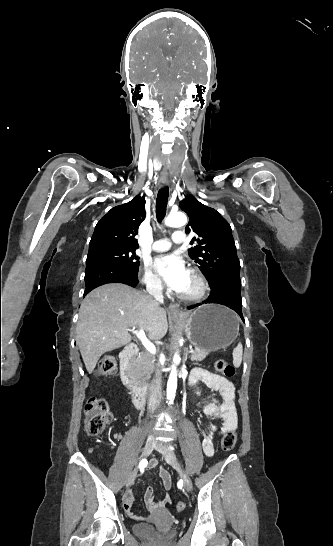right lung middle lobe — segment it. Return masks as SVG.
Listing matches in <instances>:
<instances>
[{"label":"right lung middle lobe","mask_w":333,"mask_h":546,"mask_svg":"<svg viewBox=\"0 0 333 546\" xmlns=\"http://www.w3.org/2000/svg\"><path fill=\"white\" fill-rule=\"evenodd\" d=\"M92 260L110 261L136 271H138L140 265L135 249L123 247H103L89 251L86 263Z\"/></svg>","instance_id":"obj_1"}]
</instances>
